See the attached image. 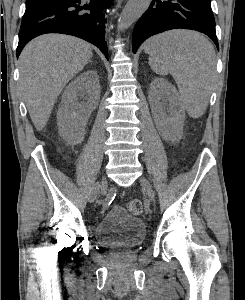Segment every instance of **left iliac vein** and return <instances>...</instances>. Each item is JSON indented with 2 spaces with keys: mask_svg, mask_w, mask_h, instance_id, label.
<instances>
[{
  "mask_svg": "<svg viewBox=\"0 0 245 300\" xmlns=\"http://www.w3.org/2000/svg\"><path fill=\"white\" fill-rule=\"evenodd\" d=\"M140 184L150 200H154L155 194L152 186L144 177L140 179Z\"/></svg>",
  "mask_w": 245,
  "mask_h": 300,
  "instance_id": "4c4485c4",
  "label": "left iliac vein"
}]
</instances>
